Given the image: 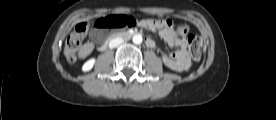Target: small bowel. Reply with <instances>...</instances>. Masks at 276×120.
<instances>
[{"mask_svg": "<svg viewBox=\"0 0 276 120\" xmlns=\"http://www.w3.org/2000/svg\"><path fill=\"white\" fill-rule=\"evenodd\" d=\"M141 27L158 32L169 46L178 47V49L171 54H163L162 60L167 67L175 71H185L190 67L191 61L186 52L187 42L185 39H181L176 35L171 25L163 24V20L144 19L142 20ZM98 34L97 30H93L90 34L91 39L95 43L98 42ZM148 40L150 43L147 46L155 48L156 43L152 39L148 38Z\"/></svg>", "mask_w": 276, "mask_h": 120, "instance_id": "1", "label": "small bowel"}]
</instances>
